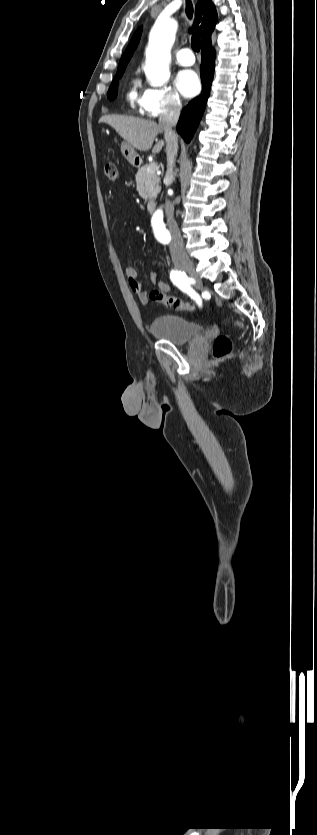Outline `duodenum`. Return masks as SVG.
Returning a JSON list of instances; mask_svg holds the SVG:
<instances>
[{"label": "duodenum", "mask_w": 317, "mask_h": 835, "mask_svg": "<svg viewBox=\"0 0 317 835\" xmlns=\"http://www.w3.org/2000/svg\"><path fill=\"white\" fill-rule=\"evenodd\" d=\"M157 202L155 200H149L147 202V210L149 212H153L156 208Z\"/></svg>", "instance_id": "1"}]
</instances>
